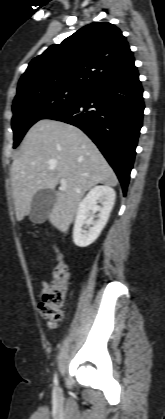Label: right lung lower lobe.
Wrapping results in <instances>:
<instances>
[{
  "label": "right lung lower lobe",
  "instance_id": "right-lung-lower-lobe-1",
  "mask_svg": "<svg viewBox=\"0 0 165 419\" xmlns=\"http://www.w3.org/2000/svg\"><path fill=\"white\" fill-rule=\"evenodd\" d=\"M142 93L137 68L133 64L121 74L92 88L79 101L43 118L66 122L83 130L116 172L124 194L142 127Z\"/></svg>",
  "mask_w": 165,
  "mask_h": 419
}]
</instances>
